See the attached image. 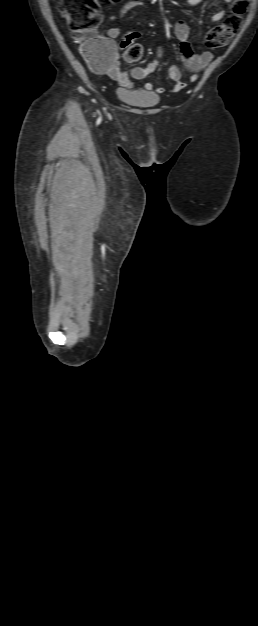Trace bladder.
<instances>
[{
    "mask_svg": "<svg viewBox=\"0 0 258 626\" xmlns=\"http://www.w3.org/2000/svg\"><path fill=\"white\" fill-rule=\"evenodd\" d=\"M117 98L130 106L138 108H150L159 103V96L153 92L132 88H118Z\"/></svg>",
    "mask_w": 258,
    "mask_h": 626,
    "instance_id": "1",
    "label": "bladder"
}]
</instances>
